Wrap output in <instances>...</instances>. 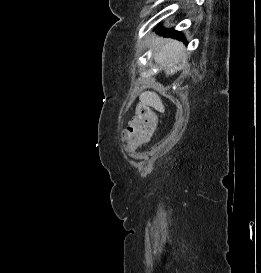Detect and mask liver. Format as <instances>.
Segmentation results:
<instances>
[{
	"mask_svg": "<svg viewBox=\"0 0 261 273\" xmlns=\"http://www.w3.org/2000/svg\"><path fill=\"white\" fill-rule=\"evenodd\" d=\"M162 41V45L160 42ZM153 43L158 45L154 54L155 61L165 68L166 75H173L179 70L177 66L180 60L186 61L187 57L184 53V45L173 39H161L157 37ZM142 104L150 106L163 113L165 111L164 105L157 93L153 91H145L139 96Z\"/></svg>",
	"mask_w": 261,
	"mask_h": 273,
	"instance_id": "1",
	"label": "liver"
}]
</instances>
